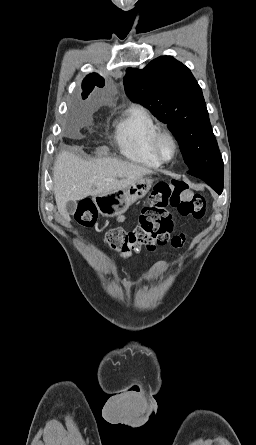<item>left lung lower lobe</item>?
Instances as JSON below:
<instances>
[{"instance_id": "0a47b994", "label": "left lung lower lobe", "mask_w": 256, "mask_h": 445, "mask_svg": "<svg viewBox=\"0 0 256 445\" xmlns=\"http://www.w3.org/2000/svg\"><path fill=\"white\" fill-rule=\"evenodd\" d=\"M190 175L204 180L218 194L223 190V169H197L188 171Z\"/></svg>"}]
</instances>
